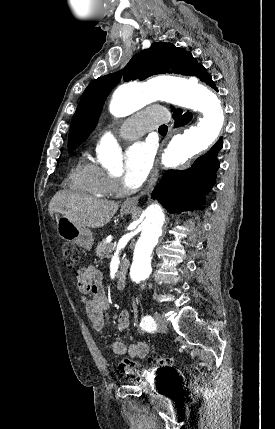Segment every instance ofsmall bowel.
<instances>
[{"mask_svg":"<svg viewBox=\"0 0 275 429\" xmlns=\"http://www.w3.org/2000/svg\"><path fill=\"white\" fill-rule=\"evenodd\" d=\"M76 285L88 319L95 331H102L109 319L110 304L105 296L101 284L102 274L94 266H83L76 272ZM131 314L124 309L118 316L117 327L124 332L130 325ZM115 356L127 355L130 359H144L149 353V346L145 342H138L127 346L123 341L112 343Z\"/></svg>","mask_w":275,"mask_h":429,"instance_id":"obj_1","label":"small bowel"}]
</instances>
